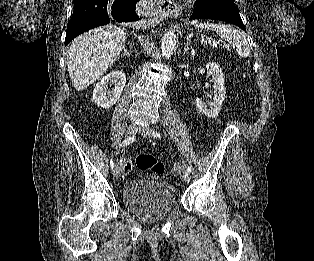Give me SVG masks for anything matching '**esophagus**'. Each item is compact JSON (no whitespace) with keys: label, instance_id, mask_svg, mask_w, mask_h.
<instances>
[{"label":"esophagus","instance_id":"esophagus-1","mask_svg":"<svg viewBox=\"0 0 314 261\" xmlns=\"http://www.w3.org/2000/svg\"><path fill=\"white\" fill-rule=\"evenodd\" d=\"M180 11V8L177 4L173 3H169L168 6L164 9L160 8L159 10H157V14L159 15H163V16H169V15H173V14H177Z\"/></svg>","mask_w":314,"mask_h":261}]
</instances>
